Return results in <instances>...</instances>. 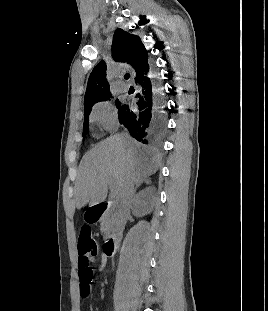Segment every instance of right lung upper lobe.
<instances>
[{"label": "right lung upper lobe", "instance_id": "cb5924a9", "mask_svg": "<svg viewBox=\"0 0 268 311\" xmlns=\"http://www.w3.org/2000/svg\"><path fill=\"white\" fill-rule=\"evenodd\" d=\"M112 56L115 61L130 64L136 75L148 65V55L140 38L118 28L114 32ZM110 88L106 79V63L99 62L91 72L84 97V111L110 96Z\"/></svg>", "mask_w": 268, "mask_h": 311}]
</instances>
